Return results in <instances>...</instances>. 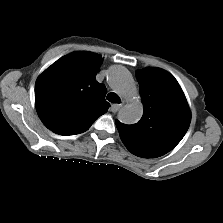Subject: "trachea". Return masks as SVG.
Listing matches in <instances>:
<instances>
[{
    "label": "trachea",
    "mask_w": 223,
    "mask_h": 223,
    "mask_svg": "<svg viewBox=\"0 0 223 223\" xmlns=\"http://www.w3.org/2000/svg\"><path fill=\"white\" fill-rule=\"evenodd\" d=\"M106 99L111 103H121L120 97L114 92L109 93Z\"/></svg>",
    "instance_id": "obj_1"
}]
</instances>
